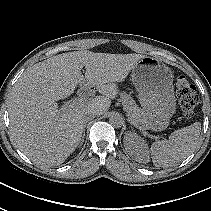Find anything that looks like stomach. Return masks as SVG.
Instances as JSON below:
<instances>
[{
    "label": "stomach",
    "mask_w": 211,
    "mask_h": 211,
    "mask_svg": "<svg viewBox=\"0 0 211 211\" xmlns=\"http://www.w3.org/2000/svg\"><path fill=\"white\" fill-rule=\"evenodd\" d=\"M131 80L145 111L142 126L153 131L166 129L176 111L171 69L155 57L143 56L133 67Z\"/></svg>",
    "instance_id": "1"
}]
</instances>
